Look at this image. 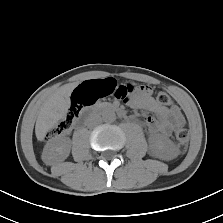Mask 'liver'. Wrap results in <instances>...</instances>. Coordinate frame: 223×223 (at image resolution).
<instances>
[{
  "mask_svg": "<svg viewBox=\"0 0 223 223\" xmlns=\"http://www.w3.org/2000/svg\"><path fill=\"white\" fill-rule=\"evenodd\" d=\"M76 86L77 83L63 85L43 103L35 125L39 141H43L47 132L66 116L70 107V95Z\"/></svg>",
  "mask_w": 223,
  "mask_h": 223,
  "instance_id": "6515ba94",
  "label": "liver"
}]
</instances>
